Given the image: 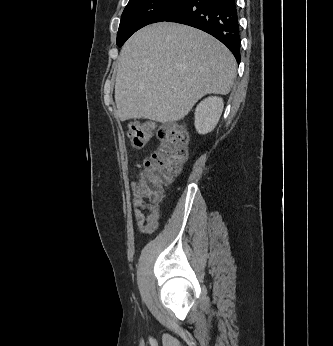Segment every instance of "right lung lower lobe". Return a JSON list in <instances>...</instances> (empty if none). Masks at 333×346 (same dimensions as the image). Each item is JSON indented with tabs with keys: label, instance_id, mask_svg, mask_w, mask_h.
I'll return each instance as SVG.
<instances>
[{
	"label": "right lung lower lobe",
	"instance_id": "1",
	"mask_svg": "<svg viewBox=\"0 0 333 346\" xmlns=\"http://www.w3.org/2000/svg\"><path fill=\"white\" fill-rule=\"evenodd\" d=\"M164 21L189 25L211 34L240 62L236 0H184Z\"/></svg>",
	"mask_w": 333,
	"mask_h": 346
}]
</instances>
